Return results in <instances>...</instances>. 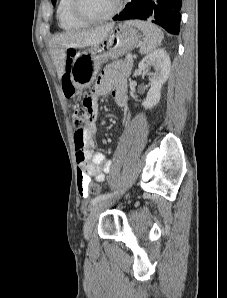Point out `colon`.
<instances>
[{"label":"colon","instance_id":"colon-1","mask_svg":"<svg viewBox=\"0 0 227 298\" xmlns=\"http://www.w3.org/2000/svg\"><path fill=\"white\" fill-rule=\"evenodd\" d=\"M63 89L67 96H73L75 93V88L69 76H64L63 78ZM84 104H93V103H81L75 105L72 112V122L76 129L75 131V149L77 157L81 160L84 159V150H85V139L84 131L89 126L90 118L95 117V115H88L85 109L83 108ZM78 178H85V173H78ZM83 191L88 194L96 195L100 192V187L96 184H87L81 187Z\"/></svg>","mask_w":227,"mask_h":298}]
</instances>
